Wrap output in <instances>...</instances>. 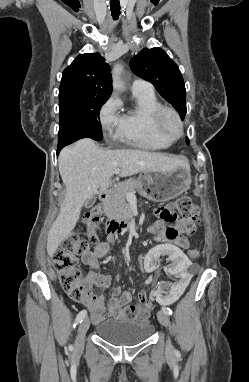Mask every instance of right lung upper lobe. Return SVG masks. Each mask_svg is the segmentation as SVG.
Masks as SVG:
<instances>
[{
  "label": "right lung upper lobe",
  "instance_id": "1",
  "mask_svg": "<svg viewBox=\"0 0 249 382\" xmlns=\"http://www.w3.org/2000/svg\"><path fill=\"white\" fill-rule=\"evenodd\" d=\"M111 69L98 54H81L62 75L59 108L108 99L112 92Z\"/></svg>",
  "mask_w": 249,
  "mask_h": 382
}]
</instances>
